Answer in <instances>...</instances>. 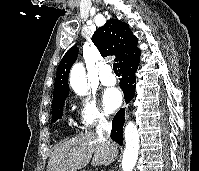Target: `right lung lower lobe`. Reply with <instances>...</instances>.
I'll list each match as a JSON object with an SVG mask.
<instances>
[{"instance_id":"1","label":"right lung lower lobe","mask_w":199,"mask_h":171,"mask_svg":"<svg viewBox=\"0 0 199 171\" xmlns=\"http://www.w3.org/2000/svg\"><path fill=\"white\" fill-rule=\"evenodd\" d=\"M140 59H136L120 67L119 71L122 75L120 80V87L124 91L125 101L128 103L132 100L135 94V73L138 68ZM125 110L120 109L112 121L111 138L118 144H123V124H124Z\"/></svg>"}]
</instances>
